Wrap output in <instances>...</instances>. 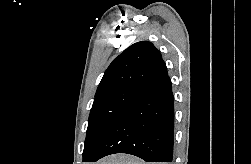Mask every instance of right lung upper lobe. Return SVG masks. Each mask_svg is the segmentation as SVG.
Returning a JSON list of instances; mask_svg holds the SVG:
<instances>
[{
  "mask_svg": "<svg viewBox=\"0 0 251 164\" xmlns=\"http://www.w3.org/2000/svg\"><path fill=\"white\" fill-rule=\"evenodd\" d=\"M167 75V67L157 48L148 41L137 42L112 61L95 97L123 87L142 89Z\"/></svg>",
  "mask_w": 251,
  "mask_h": 164,
  "instance_id": "right-lung-upper-lobe-1",
  "label": "right lung upper lobe"
}]
</instances>
